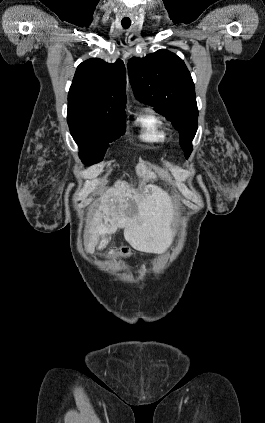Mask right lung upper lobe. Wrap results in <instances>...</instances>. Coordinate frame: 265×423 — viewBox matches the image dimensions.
Wrapping results in <instances>:
<instances>
[{
  "label": "right lung upper lobe",
  "instance_id": "obj_1",
  "mask_svg": "<svg viewBox=\"0 0 265 423\" xmlns=\"http://www.w3.org/2000/svg\"><path fill=\"white\" fill-rule=\"evenodd\" d=\"M126 70L122 60L110 64L92 58L82 62L68 94V109H85L108 117L125 115Z\"/></svg>",
  "mask_w": 265,
  "mask_h": 423
}]
</instances>
